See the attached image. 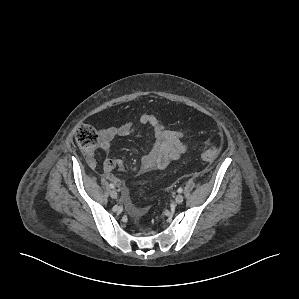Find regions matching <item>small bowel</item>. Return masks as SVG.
Instances as JSON below:
<instances>
[{
	"label": "small bowel",
	"mask_w": 299,
	"mask_h": 299,
	"mask_svg": "<svg viewBox=\"0 0 299 299\" xmlns=\"http://www.w3.org/2000/svg\"><path fill=\"white\" fill-rule=\"evenodd\" d=\"M142 125H149L152 128V138L148 152L141 159V171L152 172L166 168L171 162L179 159L187 150V145L183 140V134L166 128L153 115L146 114L141 117ZM136 126L132 121H126L122 125L110 126L99 130L100 148L108 151L112 141L116 137L129 136L136 131ZM94 166L95 162L90 161ZM122 162L117 159L109 158L104 162L103 170L105 177L114 182L117 186L125 190L120 179L112 174L116 167H121ZM144 211L142 208H134L133 213L139 215Z\"/></svg>",
	"instance_id": "small-bowel-1"
}]
</instances>
